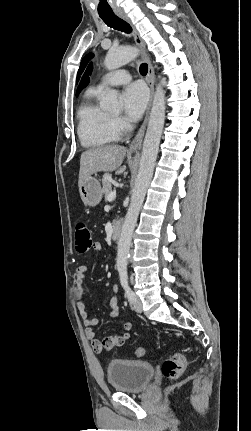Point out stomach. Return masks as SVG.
Returning <instances> with one entry per match:
<instances>
[{
  "instance_id": "1",
  "label": "stomach",
  "mask_w": 251,
  "mask_h": 431,
  "mask_svg": "<svg viewBox=\"0 0 251 431\" xmlns=\"http://www.w3.org/2000/svg\"><path fill=\"white\" fill-rule=\"evenodd\" d=\"M79 192L83 203L86 206H96L102 199V188L100 182L90 176L79 187Z\"/></svg>"
}]
</instances>
